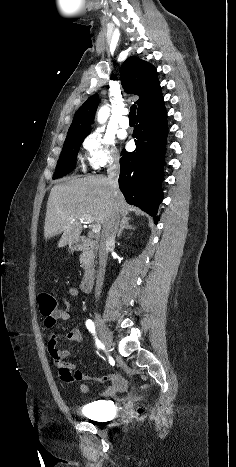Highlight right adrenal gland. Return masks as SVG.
I'll return each instance as SVG.
<instances>
[{
	"label": "right adrenal gland",
	"instance_id": "1",
	"mask_svg": "<svg viewBox=\"0 0 236 467\" xmlns=\"http://www.w3.org/2000/svg\"><path fill=\"white\" fill-rule=\"evenodd\" d=\"M130 219L129 218H122L120 221V228L117 233V237L120 238L121 233L124 229H132L135 230V227L129 224Z\"/></svg>",
	"mask_w": 236,
	"mask_h": 467
}]
</instances>
